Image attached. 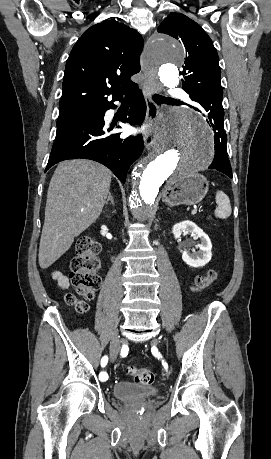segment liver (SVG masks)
Returning a JSON list of instances; mask_svg holds the SVG:
<instances>
[{"label": "liver", "instance_id": "6515ba94", "mask_svg": "<svg viewBox=\"0 0 271 459\" xmlns=\"http://www.w3.org/2000/svg\"><path fill=\"white\" fill-rule=\"evenodd\" d=\"M111 172L92 160H66L49 184L45 222L39 243V265L49 267L71 247L74 237L99 218Z\"/></svg>", "mask_w": 271, "mask_h": 459}]
</instances>
